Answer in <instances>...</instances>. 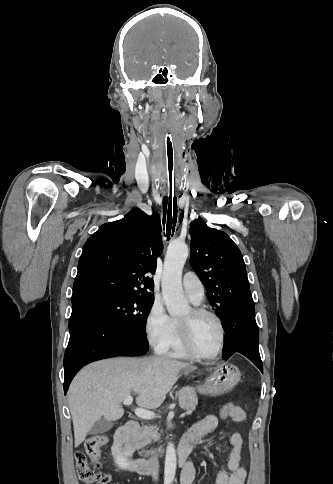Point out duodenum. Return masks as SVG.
<instances>
[{
  "mask_svg": "<svg viewBox=\"0 0 333 484\" xmlns=\"http://www.w3.org/2000/svg\"><path fill=\"white\" fill-rule=\"evenodd\" d=\"M139 425L136 421L129 420L123 426L119 427L114 436V454L121 459L126 467L141 475H150L156 471L153 463L145 458L134 459L133 452L138 448V442L135 435ZM192 452V444L182 440L178 450L177 459L179 466L185 468L189 463L188 458Z\"/></svg>",
  "mask_w": 333,
  "mask_h": 484,
  "instance_id": "obj_1",
  "label": "duodenum"
}]
</instances>
